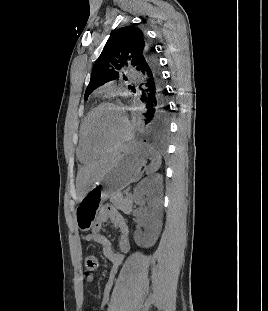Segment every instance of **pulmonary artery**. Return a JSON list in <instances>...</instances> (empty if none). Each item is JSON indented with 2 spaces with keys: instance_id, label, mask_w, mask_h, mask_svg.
Here are the masks:
<instances>
[{
  "instance_id": "e3ab8cb5",
  "label": "pulmonary artery",
  "mask_w": 268,
  "mask_h": 311,
  "mask_svg": "<svg viewBox=\"0 0 268 311\" xmlns=\"http://www.w3.org/2000/svg\"><path fill=\"white\" fill-rule=\"evenodd\" d=\"M128 75H129V76H132V73H129Z\"/></svg>"
}]
</instances>
